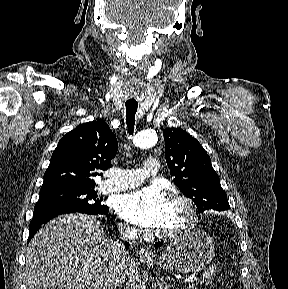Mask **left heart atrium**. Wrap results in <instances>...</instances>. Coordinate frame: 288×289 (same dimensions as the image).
I'll return each instance as SVG.
<instances>
[{
	"label": "left heart atrium",
	"instance_id": "39dd6f15",
	"mask_svg": "<svg viewBox=\"0 0 288 289\" xmlns=\"http://www.w3.org/2000/svg\"><path fill=\"white\" fill-rule=\"evenodd\" d=\"M115 209L124 220L140 227H161L168 219V200L157 186L120 195Z\"/></svg>",
	"mask_w": 288,
	"mask_h": 289
}]
</instances>
